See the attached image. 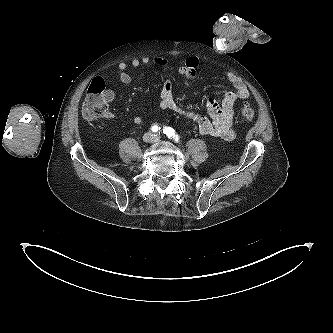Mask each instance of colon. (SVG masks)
I'll use <instances>...</instances> for the list:
<instances>
[{
	"instance_id": "obj_1",
	"label": "colon",
	"mask_w": 333,
	"mask_h": 333,
	"mask_svg": "<svg viewBox=\"0 0 333 333\" xmlns=\"http://www.w3.org/2000/svg\"><path fill=\"white\" fill-rule=\"evenodd\" d=\"M105 91V82L102 78L97 77L91 82L82 108L85 119L93 121L105 117L108 112ZM239 117L243 122H251L255 118V111L249 105H244Z\"/></svg>"
}]
</instances>
